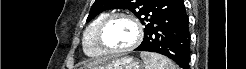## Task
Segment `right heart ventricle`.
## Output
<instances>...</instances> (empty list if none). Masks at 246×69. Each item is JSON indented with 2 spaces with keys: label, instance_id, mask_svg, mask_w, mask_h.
Returning a JSON list of instances; mask_svg holds the SVG:
<instances>
[{
  "label": "right heart ventricle",
  "instance_id": "1",
  "mask_svg": "<svg viewBox=\"0 0 246 69\" xmlns=\"http://www.w3.org/2000/svg\"><path fill=\"white\" fill-rule=\"evenodd\" d=\"M108 15V12L100 13L90 22L84 31L83 48L85 53L91 57H98L104 54L103 49L100 47L97 41V29L100 23Z\"/></svg>",
  "mask_w": 246,
  "mask_h": 69
}]
</instances>
